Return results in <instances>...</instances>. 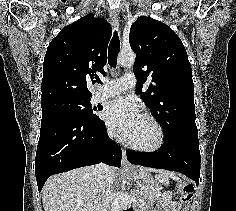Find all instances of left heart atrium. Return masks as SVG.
Wrapping results in <instances>:
<instances>
[{
    "instance_id": "left-heart-atrium-1",
    "label": "left heart atrium",
    "mask_w": 236,
    "mask_h": 211,
    "mask_svg": "<svg viewBox=\"0 0 236 211\" xmlns=\"http://www.w3.org/2000/svg\"><path fill=\"white\" fill-rule=\"evenodd\" d=\"M103 117L108 124L126 136L140 121L142 114L134 100L117 98L107 104Z\"/></svg>"
}]
</instances>
